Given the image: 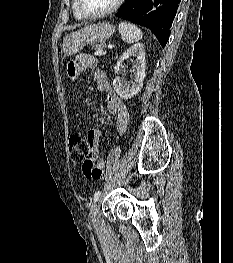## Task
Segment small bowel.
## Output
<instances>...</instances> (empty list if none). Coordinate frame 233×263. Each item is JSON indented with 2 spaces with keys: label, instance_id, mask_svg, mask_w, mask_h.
Listing matches in <instances>:
<instances>
[{
  "label": "small bowel",
  "instance_id": "obj_1",
  "mask_svg": "<svg viewBox=\"0 0 233 263\" xmlns=\"http://www.w3.org/2000/svg\"><path fill=\"white\" fill-rule=\"evenodd\" d=\"M97 65L98 61L95 57L88 54H81L69 63L67 72L70 78L76 79L82 72L91 68L94 69L93 76L97 89L99 92L105 94L107 110L116 118V129L118 134L123 135L125 134L129 123V113L127 107L123 100L114 92L106 73L97 68ZM99 136L100 132L97 130H91L89 132L91 143L90 162L92 164L97 162L98 166L104 168V159H98Z\"/></svg>",
  "mask_w": 233,
  "mask_h": 263
}]
</instances>
